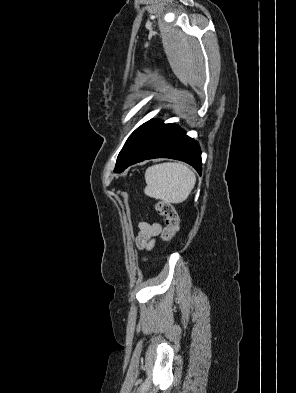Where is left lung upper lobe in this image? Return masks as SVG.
<instances>
[{"instance_id":"1","label":"left lung upper lobe","mask_w":296,"mask_h":393,"mask_svg":"<svg viewBox=\"0 0 296 393\" xmlns=\"http://www.w3.org/2000/svg\"><path fill=\"white\" fill-rule=\"evenodd\" d=\"M152 122V120L144 123L140 127H138L127 139L125 142L122 150L120 151L116 166L114 169V172L120 173L121 169L123 168L124 164L126 163L130 153L132 152L133 148L135 147L136 143L138 142L139 138L143 134V132L146 130V128L149 126V124Z\"/></svg>"}]
</instances>
